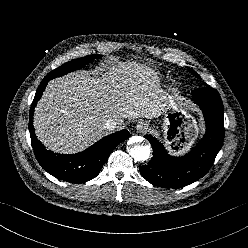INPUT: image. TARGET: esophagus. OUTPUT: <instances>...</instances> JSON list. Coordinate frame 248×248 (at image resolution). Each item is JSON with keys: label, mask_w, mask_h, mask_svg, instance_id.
<instances>
[{"label": "esophagus", "mask_w": 248, "mask_h": 248, "mask_svg": "<svg viewBox=\"0 0 248 248\" xmlns=\"http://www.w3.org/2000/svg\"><path fill=\"white\" fill-rule=\"evenodd\" d=\"M136 129L138 132H144L148 129V125L143 122V121H139L137 124H136Z\"/></svg>", "instance_id": "obj_1"}]
</instances>
